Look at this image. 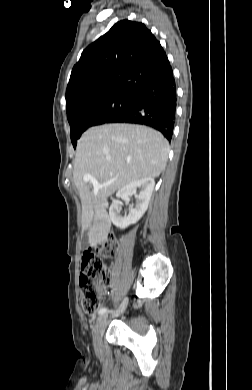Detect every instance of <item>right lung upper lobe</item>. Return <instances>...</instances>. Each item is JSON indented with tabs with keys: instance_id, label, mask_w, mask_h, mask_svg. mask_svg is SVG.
Here are the masks:
<instances>
[{
	"instance_id": "cb5924a9",
	"label": "right lung upper lobe",
	"mask_w": 252,
	"mask_h": 390,
	"mask_svg": "<svg viewBox=\"0 0 252 390\" xmlns=\"http://www.w3.org/2000/svg\"><path fill=\"white\" fill-rule=\"evenodd\" d=\"M173 73L160 42L142 23L122 20L89 45L74 65L66 110L111 95H135Z\"/></svg>"
}]
</instances>
